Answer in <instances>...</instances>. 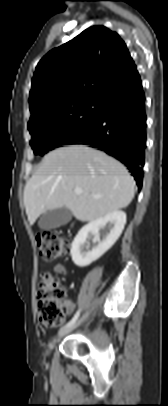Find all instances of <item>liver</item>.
<instances>
[{
  "label": "liver",
  "mask_w": 168,
  "mask_h": 406,
  "mask_svg": "<svg viewBox=\"0 0 168 406\" xmlns=\"http://www.w3.org/2000/svg\"><path fill=\"white\" fill-rule=\"evenodd\" d=\"M75 188L84 193L76 194ZM134 195V179L119 161L102 151L71 145L45 155L26 183L24 205L31 225L41 214L61 207L87 222L126 208Z\"/></svg>",
  "instance_id": "1"
}]
</instances>
